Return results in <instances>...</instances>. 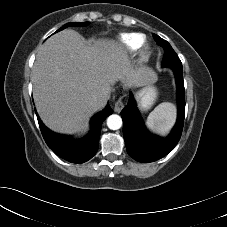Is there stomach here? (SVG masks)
I'll list each match as a JSON object with an SVG mask.
<instances>
[{"label": "stomach", "mask_w": 227, "mask_h": 227, "mask_svg": "<svg viewBox=\"0 0 227 227\" xmlns=\"http://www.w3.org/2000/svg\"><path fill=\"white\" fill-rule=\"evenodd\" d=\"M156 90L153 86H146L137 93V99L142 110H148L156 98Z\"/></svg>", "instance_id": "1"}]
</instances>
